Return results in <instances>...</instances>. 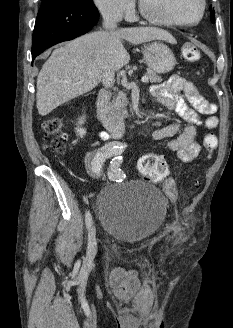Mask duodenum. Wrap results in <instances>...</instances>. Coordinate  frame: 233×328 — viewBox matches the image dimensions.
<instances>
[{"instance_id": "duodenum-1", "label": "duodenum", "mask_w": 233, "mask_h": 328, "mask_svg": "<svg viewBox=\"0 0 233 328\" xmlns=\"http://www.w3.org/2000/svg\"><path fill=\"white\" fill-rule=\"evenodd\" d=\"M109 91L102 90L96 100V115L104 128L114 136H120L124 129V120L128 113L114 116L108 107Z\"/></svg>"}]
</instances>
